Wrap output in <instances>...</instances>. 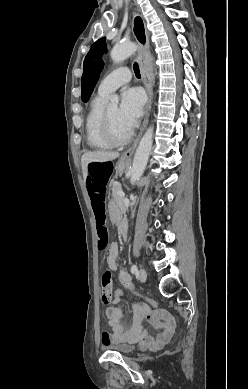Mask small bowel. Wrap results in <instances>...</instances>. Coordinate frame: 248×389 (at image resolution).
Returning a JSON list of instances; mask_svg holds the SVG:
<instances>
[{
	"label": "small bowel",
	"mask_w": 248,
	"mask_h": 389,
	"mask_svg": "<svg viewBox=\"0 0 248 389\" xmlns=\"http://www.w3.org/2000/svg\"><path fill=\"white\" fill-rule=\"evenodd\" d=\"M123 224L125 225V223ZM107 261L110 269L115 272L119 282L122 277H129L130 281H132L129 273L119 268L118 246L116 244L111 246ZM122 301L123 298H114L113 296L108 301L111 302L112 306L107 308L106 316L113 332H103L102 343L104 345L111 344L114 341H129L139 342L145 348L155 349L164 345L171 338L174 332V320L168 312L163 310L150 311L144 304H134L133 323L128 327L123 322L124 314L122 309L116 306ZM145 320L158 329L154 337L149 335L143 328V322Z\"/></svg>",
	"instance_id": "obj_1"
}]
</instances>
